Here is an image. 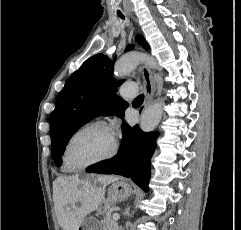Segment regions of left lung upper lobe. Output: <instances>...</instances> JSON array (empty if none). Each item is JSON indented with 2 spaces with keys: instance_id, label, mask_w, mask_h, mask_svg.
Masks as SVG:
<instances>
[{
  "instance_id": "left-lung-upper-lobe-1",
  "label": "left lung upper lobe",
  "mask_w": 241,
  "mask_h": 230,
  "mask_svg": "<svg viewBox=\"0 0 241 230\" xmlns=\"http://www.w3.org/2000/svg\"><path fill=\"white\" fill-rule=\"evenodd\" d=\"M139 42L149 49L141 36ZM132 48L128 45L126 51ZM115 60L116 57L111 61L103 54L90 57L60 91L50 115L51 155L57 166L62 164L61 156L69 139L82 125L100 115L124 117L126 102L116 96L114 89L122 81L112 77Z\"/></svg>"
}]
</instances>
